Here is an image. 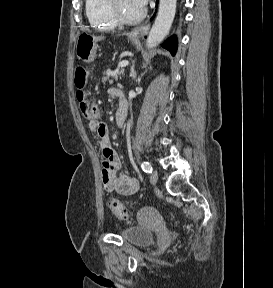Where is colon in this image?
<instances>
[{"mask_svg":"<svg viewBox=\"0 0 273 288\" xmlns=\"http://www.w3.org/2000/svg\"><path fill=\"white\" fill-rule=\"evenodd\" d=\"M77 54L84 61H91L94 57V44L92 37L89 35H81L78 40ZM87 80L85 69L78 68L75 73V84L78 88L77 100L83 116L89 121H95L99 117L98 106L88 97L83 90ZM109 209L111 212L122 221H129L130 216L123 204L116 198L109 199Z\"/></svg>","mask_w":273,"mask_h":288,"instance_id":"1","label":"colon"}]
</instances>
